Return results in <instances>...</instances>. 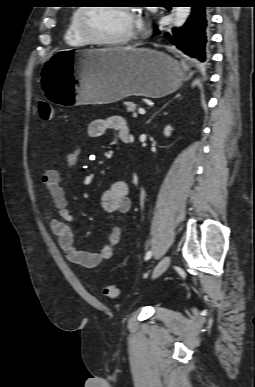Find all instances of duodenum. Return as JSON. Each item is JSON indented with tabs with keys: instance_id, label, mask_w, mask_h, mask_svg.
Returning <instances> with one entry per match:
<instances>
[{
	"instance_id": "410a0bca",
	"label": "duodenum",
	"mask_w": 255,
	"mask_h": 387,
	"mask_svg": "<svg viewBox=\"0 0 255 387\" xmlns=\"http://www.w3.org/2000/svg\"><path fill=\"white\" fill-rule=\"evenodd\" d=\"M120 138L125 143H128L130 141V136L128 134H122Z\"/></svg>"
}]
</instances>
